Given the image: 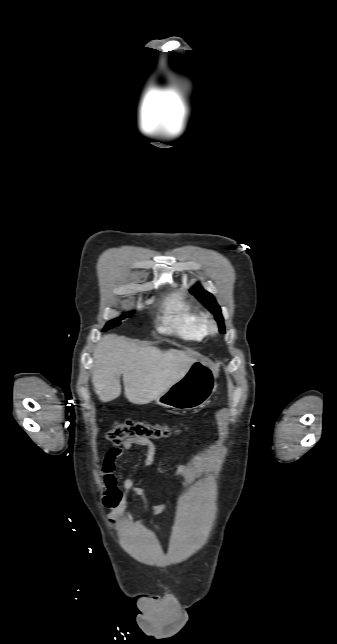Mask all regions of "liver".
Returning <instances> with one entry per match:
<instances>
[{
    "mask_svg": "<svg viewBox=\"0 0 337 644\" xmlns=\"http://www.w3.org/2000/svg\"><path fill=\"white\" fill-rule=\"evenodd\" d=\"M181 350L141 347L123 336L105 335L93 353L92 384L102 402L121 394L123 375L125 396L131 403H150L183 378L196 360Z\"/></svg>",
    "mask_w": 337,
    "mask_h": 644,
    "instance_id": "6515ba94",
    "label": "liver"
}]
</instances>
